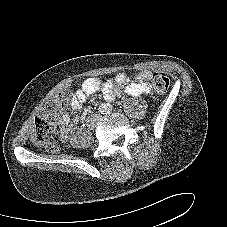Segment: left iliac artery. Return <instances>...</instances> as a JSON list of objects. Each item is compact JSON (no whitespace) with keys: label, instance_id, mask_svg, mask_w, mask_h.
Instances as JSON below:
<instances>
[{"label":"left iliac artery","instance_id":"44dca946","mask_svg":"<svg viewBox=\"0 0 227 227\" xmlns=\"http://www.w3.org/2000/svg\"><path fill=\"white\" fill-rule=\"evenodd\" d=\"M106 111H107L108 113H110V112L112 111V107H111V106H107Z\"/></svg>","mask_w":227,"mask_h":227}]
</instances>
